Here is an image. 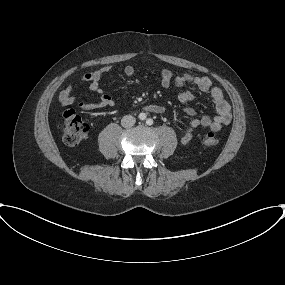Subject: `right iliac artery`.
<instances>
[{
	"label": "right iliac artery",
	"mask_w": 285,
	"mask_h": 285,
	"mask_svg": "<svg viewBox=\"0 0 285 285\" xmlns=\"http://www.w3.org/2000/svg\"><path fill=\"white\" fill-rule=\"evenodd\" d=\"M138 117H139L140 120H145L146 119L145 113H140Z\"/></svg>",
	"instance_id": "right-iliac-artery-1"
}]
</instances>
